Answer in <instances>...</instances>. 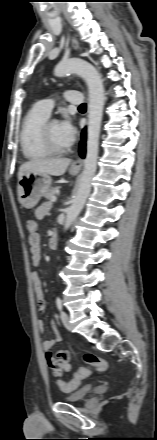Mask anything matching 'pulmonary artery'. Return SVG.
Instances as JSON below:
<instances>
[{"label": "pulmonary artery", "instance_id": "e3ab8cb5", "mask_svg": "<svg viewBox=\"0 0 157 440\" xmlns=\"http://www.w3.org/2000/svg\"><path fill=\"white\" fill-rule=\"evenodd\" d=\"M65 99L72 104H81L82 103V94L78 91H66ZM41 112L49 116L54 107V100L52 98H46L40 100L35 105Z\"/></svg>", "mask_w": 157, "mask_h": 440}]
</instances>
